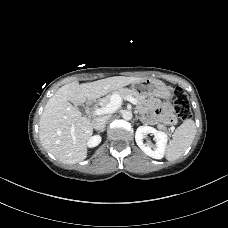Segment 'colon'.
Listing matches in <instances>:
<instances>
[{
  "label": "colon",
  "mask_w": 228,
  "mask_h": 228,
  "mask_svg": "<svg viewBox=\"0 0 228 228\" xmlns=\"http://www.w3.org/2000/svg\"><path fill=\"white\" fill-rule=\"evenodd\" d=\"M174 102V116L167 117V123L174 125L178 120H187L191 116L190 100L186 91L182 87H175L172 92Z\"/></svg>",
  "instance_id": "colon-1"
}]
</instances>
